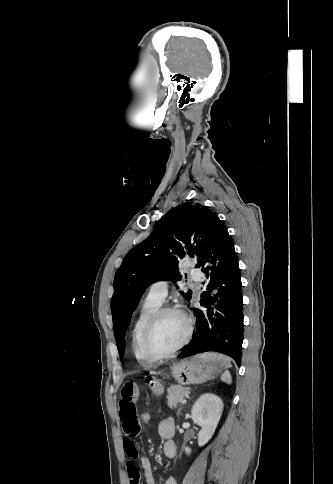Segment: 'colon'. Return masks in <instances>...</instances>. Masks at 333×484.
<instances>
[{"instance_id":"1","label":"colon","mask_w":333,"mask_h":484,"mask_svg":"<svg viewBox=\"0 0 333 484\" xmlns=\"http://www.w3.org/2000/svg\"><path fill=\"white\" fill-rule=\"evenodd\" d=\"M151 413L149 411H143L139 416V421L141 425H149L151 422Z\"/></svg>"}]
</instances>
